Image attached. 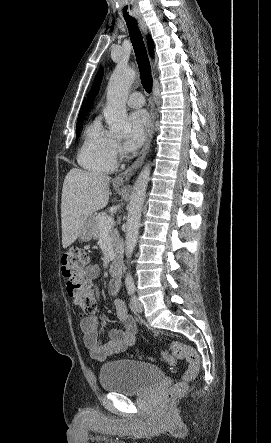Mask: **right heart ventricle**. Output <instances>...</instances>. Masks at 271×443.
Listing matches in <instances>:
<instances>
[{"label": "right heart ventricle", "mask_w": 271, "mask_h": 443, "mask_svg": "<svg viewBox=\"0 0 271 443\" xmlns=\"http://www.w3.org/2000/svg\"><path fill=\"white\" fill-rule=\"evenodd\" d=\"M114 143L113 135L103 129L100 119L95 117L85 128L78 163L91 172H113L117 166Z\"/></svg>", "instance_id": "obj_1"}]
</instances>
